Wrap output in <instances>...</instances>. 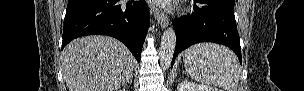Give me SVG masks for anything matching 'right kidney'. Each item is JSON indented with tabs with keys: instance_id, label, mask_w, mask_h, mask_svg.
I'll use <instances>...</instances> for the list:
<instances>
[{
	"instance_id": "ca27d5eb",
	"label": "right kidney",
	"mask_w": 304,
	"mask_h": 91,
	"mask_svg": "<svg viewBox=\"0 0 304 91\" xmlns=\"http://www.w3.org/2000/svg\"><path fill=\"white\" fill-rule=\"evenodd\" d=\"M121 91H126L125 89H122Z\"/></svg>"
}]
</instances>
